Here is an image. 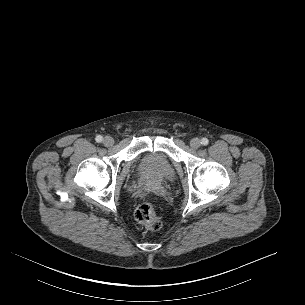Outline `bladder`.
Instances as JSON below:
<instances>
[{"instance_id": "obj_1", "label": "bladder", "mask_w": 305, "mask_h": 305, "mask_svg": "<svg viewBox=\"0 0 305 305\" xmlns=\"http://www.w3.org/2000/svg\"><path fill=\"white\" fill-rule=\"evenodd\" d=\"M140 173L157 180H169L174 176V168L171 162L156 154L145 156L139 164Z\"/></svg>"}]
</instances>
